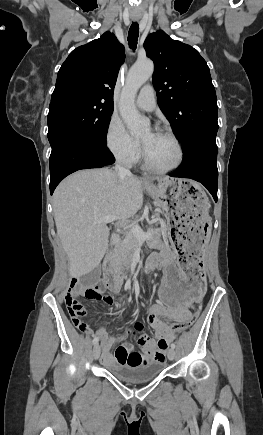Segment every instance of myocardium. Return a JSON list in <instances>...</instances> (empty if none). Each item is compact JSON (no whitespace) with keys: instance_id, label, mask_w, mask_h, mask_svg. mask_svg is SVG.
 Here are the masks:
<instances>
[{"instance_id":"f54148a6","label":"myocardium","mask_w":263,"mask_h":435,"mask_svg":"<svg viewBox=\"0 0 263 435\" xmlns=\"http://www.w3.org/2000/svg\"><path fill=\"white\" fill-rule=\"evenodd\" d=\"M156 133L170 138L175 143V145H176V147L178 149V160H177V162L174 165H172L170 167H166V168L156 167V166H154L151 163V161H150V159L148 157L146 148H145V146L143 144V160H144L145 167L148 170H150V171H152L154 173H158V174L168 173V172H171V171L179 168L182 165L183 161H184V148H183V145H182L181 141L179 140V138L173 132L165 130V129H157Z\"/></svg>"}]
</instances>
